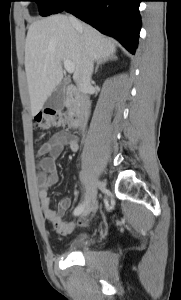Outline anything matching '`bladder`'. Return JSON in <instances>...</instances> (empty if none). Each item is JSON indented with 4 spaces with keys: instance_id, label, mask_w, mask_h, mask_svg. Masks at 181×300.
<instances>
[{
    "instance_id": "obj_1",
    "label": "bladder",
    "mask_w": 181,
    "mask_h": 300,
    "mask_svg": "<svg viewBox=\"0 0 181 300\" xmlns=\"http://www.w3.org/2000/svg\"><path fill=\"white\" fill-rule=\"evenodd\" d=\"M92 241H93V238L90 233L81 232L75 237V239L73 241V248L80 249L85 246H89V245H91Z\"/></svg>"
}]
</instances>
